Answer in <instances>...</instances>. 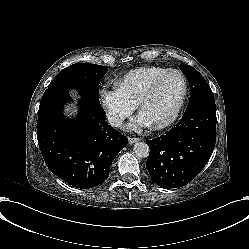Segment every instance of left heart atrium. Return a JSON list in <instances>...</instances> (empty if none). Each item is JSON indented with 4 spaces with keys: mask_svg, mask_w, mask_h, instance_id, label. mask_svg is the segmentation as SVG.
<instances>
[{
    "mask_svg": "<svg viewBox=\"0 0 249 249\" xmlns=\"http://www.w3.org/2000/svg\"><path fill=\"white\" fill-rule=\"evenodd\" d=\"M137 123L141 124V123H142V121H141V120H138V121H137Z\"/></svg>",
    "mask_w": 249,
    "mask_h": 249,
    "instance_id": "39dd6f15",
    "label": "left heart atrium"
}]
</instances>
